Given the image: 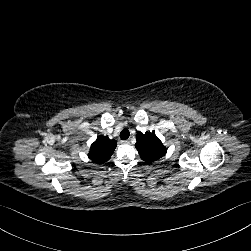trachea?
<instances>
[{
	"label": "trachea",
	"instance_id": "obj_1",
	"mask_svg": "<svg viewBox=\"0 0 251 251\" xmlns=\"http://www.w3.org/2000/svg\"><path fill=\"white\" fill-rule=\"evenodd\" d=\"M129 135H130L129 130L126 129V128L123 129V130L120 132V138H121L122 140L128 139V138H129Z\"/></svg>",
	"mask_w": 251,
	"mask_h": 251
}]
</instances>
